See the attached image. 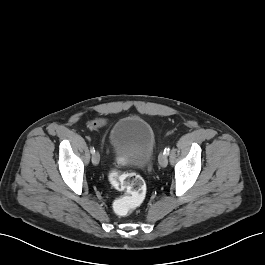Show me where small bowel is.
<instances>
[{
	"instance_id": "obj_1",
	"label": "small bowel",
	"mask_w": 265,
	"mask_h": 265,
	"mask_svg": "<svg viewBox=\"0 0 265 265\" xmlns=\"http://www.w3.org/2000/svg\"><path fill=\"white\" fill-rule=\"evenodd\" d=\"M89 125L92 129H98L106 125V120L102 118L95 119L91 121Z\"/></svg>"
}]
</instances>
